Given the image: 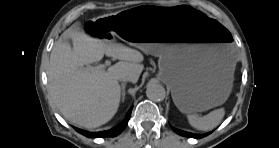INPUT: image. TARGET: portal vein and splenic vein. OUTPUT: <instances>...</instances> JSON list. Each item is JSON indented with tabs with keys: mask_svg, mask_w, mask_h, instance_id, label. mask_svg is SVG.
Listing matches in <instances>:
<instances>
[{
	"mask_svg": "<svg viewBox=\"0 0 279 148\" xmlns=\"http://www.w3.org/2000/svg\"><path fill=\"white\" fill-rule=\"evenodd\" d=\"M111 64L110 61H106L105 64H101V65H98V66H88L87 69L90 70V71H93V72H100V71H103L105 70V68L107 66H109Z\"/></svg>",
	"mask_w": 279,
	"mask_h": 148,
	"instance_id": "obj_1",
	"label": "portal vein and splenic vein"
}]
</instances>
